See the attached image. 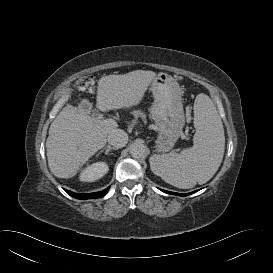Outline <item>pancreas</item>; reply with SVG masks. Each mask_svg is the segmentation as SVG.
Here are the masks:
<instances>
[{
  "mask_svg": "<svg viewBox=\"0 0 273 273\" xmlns=\"http://www.w3.org/2000/svg\"><path fill=\"white\" fill-rule=\"evenodd\" d=\"M132 115L135 117V118H142L143 120H145L146 118V114L141 111V110H134L132 111Z\"/></svg>",
  "mask_w": 273,
  "mask_h": 273,
  "instance_id": "obj_1",
  "label": "pancreas"
}]
</instances>
